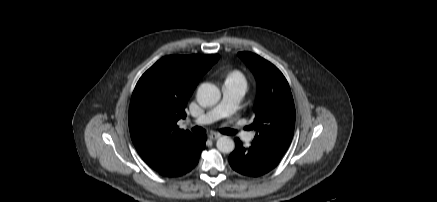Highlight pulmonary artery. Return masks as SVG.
<instances>
[{
	"instance_id": "e3ab8cb5",
	"label": "pulmonary artery",
	"mask_w": 437,
	"mask_h": 202,
	"mask_svg": "<svg viewBox=\"0 0 437 202\" xmlns=\"http://www.w3.org/2000/svg\"><path fill=\"white\" fill-rule=\"evenodd\" d=\"M246 90V84L243 79L227 78L222 87V99L212 109L198 117L194 122L199 125L213 123L221 118H231L235 113L238 103ZM231 129L235 134L240 136L245 141H251L254 137L253 133L247 132L238 123L230 120Z\"/></svg>"
}]
</instances>
